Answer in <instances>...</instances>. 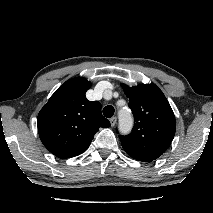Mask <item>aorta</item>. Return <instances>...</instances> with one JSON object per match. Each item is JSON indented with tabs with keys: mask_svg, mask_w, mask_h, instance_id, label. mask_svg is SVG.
Wrapping results in <instances>:
<instances>
[{
	"mask_svg": "<svg viewBox=\"0 0 213 213\" xmlns=\"http://www.w3.org/2000/svg\"><path fill=\"white\" fill-rule=\"evenodd\" d=\"M119 115V130L121 133L127 134L133 126V118L129 110L121 109Z\"/></svg>",
	"mask_w": 213,
	"mask_h": 213,
	"instance_id": "aorta-1",
	"label": "aorta"
}]
</instances>
